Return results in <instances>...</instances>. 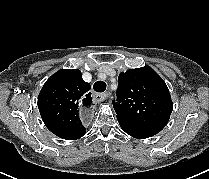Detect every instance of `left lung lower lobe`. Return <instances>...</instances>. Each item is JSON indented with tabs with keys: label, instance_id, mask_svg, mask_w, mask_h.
<instances>
[{
	"label": "left lung lower lobe",
	"instance_id": "left-lung-lower-lobe-1",
	"mask_svg": "<svg viewBox=\"0 0 209 179\" xmlns=\"http://www.w3.org/2000/svg\"><path fill=\"white\" fill-rule=\"evenodd\" d=\"M117 119L123 131H125L128 135L134 138L144 139V138L152 137L153 135L157 134V133L148 131L146 129L140 128L136 125H133L125 120H122L119 118Z\"/></svg>",
	"mask_w": 209,
	"mask_h": 179
}]
</instances>
